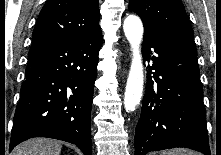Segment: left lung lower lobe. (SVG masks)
I'll return each mask as SVG.
<instances>
[{
	"label": "left lung lower lobe",
	"mask_w": 221,
	"mask_h": 155,
	"mask_svg": "<svg viewBox=\"0 0 221 155\" xmlns=\"http://www.w3.org/2000/svg\"><path fill=\"white\" fill-rule=\"evenodd\" d=\"M143 54L152 66L136 126L135 155L173 147L211 155L196 49L144 31Z\"/></svg>",
	"instance_id": "1"
}]
</instances>
